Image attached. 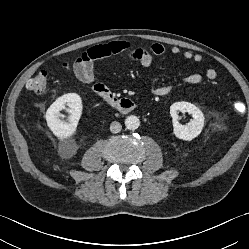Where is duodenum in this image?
I'll return each instance as SVG.
<instances>
[{"instance_id": "410a0bca", "label": "duodenum", "mask_w": 249, "mask_h": 249, "mask_svg": "<svg viewBox=\"0 0 249 249\" xmlns=\"http://www.w3.org/2000/svg\"><path fill=\"white\" fill-rule=\"evenodd\" d=\"M96 93L101 98H103L110 106L123 114L130 113L137 107V103L134 100L124 97H118L110 90L96 91Z\"/></svg>"}]
</instances>
